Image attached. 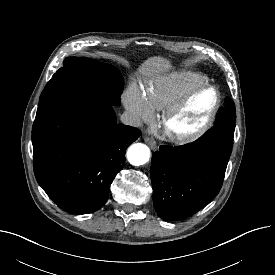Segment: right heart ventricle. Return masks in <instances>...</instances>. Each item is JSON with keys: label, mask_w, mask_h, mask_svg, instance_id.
<instances>
[{"label": "right heart ventricle", "mask_w": 275, "mask_h": 275, "mask_svg": "<svg viewBox=\"0 0 275 275\" xmlns=\"http://www.w3.org/2000/svg\"><path fill=\"white\" fill-rule=\"evenodd\" d=\"M207 82V78L198 73H173L149 82L144 96L152 111H164L187 92Z\"/></svg>", "instance_id": "1"}]
</instances>
